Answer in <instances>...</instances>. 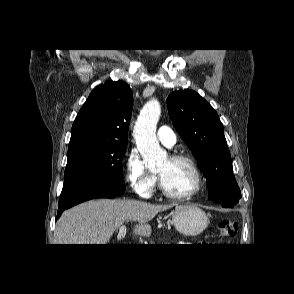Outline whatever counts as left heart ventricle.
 <instances>
[{
    "label": "left heart ventricle",
    "mask_w": 294,
    "mask_h": 294,
    "mask_svg": "<svg viewBox=\"0 0 294 294\" xmlns=\"http://www.w3.org/2000/svg\"><path fill=\"white\" fill-rule=\"evenodd\" d=\"M157 173L161 176L166 188L172 193H189L196 184L195 174L185 162H171L166 159Z\"/></svg>",
    "instance_id": "obj_1"
}]
</instances>
